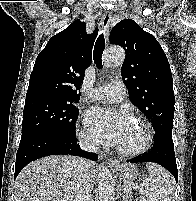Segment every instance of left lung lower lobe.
Wrapping results in <instances>:
<instances>
[{"label":"left lung lower lobe","mask_w":196,"mask_h":201,"mask_svg":"<svg viewBox=\"0 0 196 201\" xmlns=\"http://www.w3.org/2000/svg\"><path fill=\"white\" fill-rule=\"evenodd\" d=\"M128 162H154L165 167L178 180V170L172 140V130L155 133L154 146L150 152L137 156Z\"/></svg>","instance_id":"left-lung-lower-lobe-1"}]
</instances>
